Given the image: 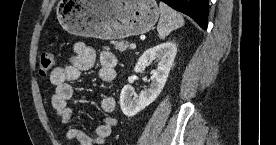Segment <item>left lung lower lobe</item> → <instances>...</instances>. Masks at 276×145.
I'll list each match as a JSON object with an SVG mask.
<instances>
[{"instance_id": "0a47b994", "label": "left lung lower lobe", "mask_w": 276, "mask_h": 145, "mask_svg": "<svg viewBox=\"0 0 276 145\" xmlns=\"http://www.w3.org/2000/svg\"><path fill=\"white\" fill-rule=\"evenodd\" d=\"M194 19L198 25L206 29L208 23V0H161Z\"/></svg>"}]
</instances>
